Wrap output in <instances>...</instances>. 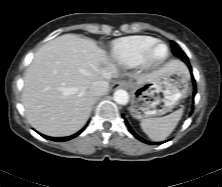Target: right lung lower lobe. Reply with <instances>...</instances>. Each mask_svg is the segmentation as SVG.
<instances>
[{"instance_id": "98d812e1", "label": "right lung lower lobe", "mask_w": 222, "mask_h": 187, "mask_svg": "<svg viewBox=\"0 0 222 187\" xmlns=\"http://www.w3.org/2000/svg\"><path fill=\"white\" fill-rule=\"evenodd\" d=\"M84 130V128L82 130H80L78 133L72 135V136H69V137H59V138H56V137H48V136H45V135H42L44 138L46 139H49V140H52V141H56V142H63V141H67V140H70L74 137H76L77 135H79L82 131Z\"/></svg>"}]
</instances>
